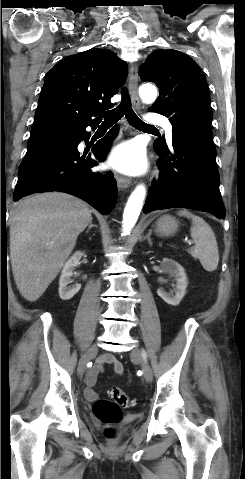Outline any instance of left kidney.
I'll use <instances>...</instances> for the list:
<instances>
[{
	"instance_id": "left-kidney-1",
	"label": "left kidney",
	"mask_w": 245,
	"mask_h": 479,
	"mask_svg": "<svg viewBox=\"0 0 245 479\" xmlns=\"http://www.w3.org/2000/svg\"><path fill=\"white\" fill-rule=\"evenodd\" d=\"M161 269L169 273L175 278V295L173 293H167L162 289L157 290V294L167 303L173 306H177L185 295L187 287V277L184 268L176 261L163 258Z\"/></svg>"
}]
</instances>
